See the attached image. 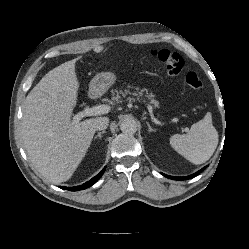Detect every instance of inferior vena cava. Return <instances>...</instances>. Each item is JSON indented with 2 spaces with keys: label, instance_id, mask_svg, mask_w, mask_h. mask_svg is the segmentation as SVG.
<instances>
[{
  "label": "inferior vena cava",
  "instance_id": "1",
  "mask_svg": "<svg viewBox=\"0 0 249 249\" xmlns=\"http://www.w3.org/2000/svg\"><path fill=\"white\" fill-rule=\"evenodd\" d=\"M109 119L107 117L96 118L93 122V128L95 130H103L108 127Z\"/></svg>",
  "mask_w": 249,
  "mask_h": 249
}]
</instances>
